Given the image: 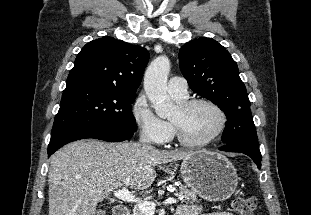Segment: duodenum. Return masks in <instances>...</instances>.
<instances>
[{
    "instance_id": "410a0bca",
    "label": "duodenum",
    "mask_w": 311,
    "mask_h": 215,
    "mask_svg": "<svg viewBox=\"0 0 311 215\" xmlns=\"http://www.w3.org/2000/svg\"><path fill=\"white\" fill-rule=\"evenodd\" d=\"M113 215H130V211L123 206H117L114 209Z\"/></svg>"
}]
</instances>
